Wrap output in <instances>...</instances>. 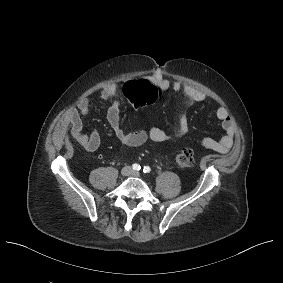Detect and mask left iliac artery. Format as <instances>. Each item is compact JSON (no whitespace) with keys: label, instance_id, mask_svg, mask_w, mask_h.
<instances>
[{"label":"left iliac artery","instance_id":"obj_1","mask_svg":"<svg viewBox=\"0 0 283 283\" xmlns=\"http://www.w3.org/2000/svg\"><path fill=\"white\" fill-rule=\"evenodd\" d=\"M150 171H151V169H150L149 166H144V168H143L144 173H149Z\"/></svg>","mask_w":283,"mask_h":283}]
</instances>
